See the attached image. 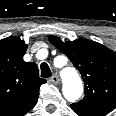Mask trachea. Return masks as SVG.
<instances>
[{"instance_id":"1","label":"trachea","mask_w":116,"mask_h":116,"mask_svg":"<svg viewBox=\"0 0 116 116\" xmlns=\"http://www.w3.org/2000/svg\"><path fill=\"white\" fill-rule=\"evenodd\" d=\"M40 68H41V77L48 78L52 75L50 67L48 66L47 63H42Z\"/></svg>"}]
</instances>
